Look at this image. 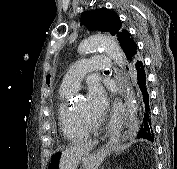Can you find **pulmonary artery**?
<instances>
[{"label": "pulmonary artery", "instance_id": "1", "mask_svg": "<svg viewBox=\"0 0 177 169\" xmlns=\"http://www.w3.org/2000/svg\"><path fill=\"white\" fill-rule=\"evenodd\" d=\"M112 61L107 56H98L82 59L71 66L65 74L61 89L77 91L85 73L100 72L110 68Z\"/></svg>", "mask_w": 177, "mask_h": 169}]
</instances>
